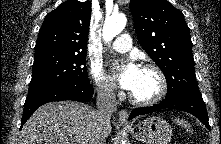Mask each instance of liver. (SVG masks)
Here are the masks:
<instances>
[{
  "instance_id": "6515ba94",
  "label": "liver",
  "mask_w": 221,
  "mask_h": 144,
  "mask_svg": "<svg viewBox=\"0 0 221 144\" xmlns=\"http://www.w3.org/2000/svg\"><path fill=\"white\" fill-rule=\"evenodd\" d=\"M95 117L96 110L84 103H46L23 126L19 144H93ZM103 129L108 137L110 121Z\"/></svg>"
}]
</instances>
